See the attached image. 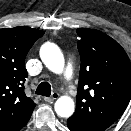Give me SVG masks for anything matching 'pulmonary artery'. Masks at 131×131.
I'll return each mask as SVG.
<instances>
[{
    "label": "pulmonary artery",
    "instance_id": "pulmonary-artery-1",
    "mask_svg": "<svg viewBox=\"0 0 131 131\" xmlns=\"http://www.w3.org/2000/svg\"><path fill=\"white\" fill-rule=\"evenodd\" d=\"M72 78V72L70 68H67L66 72H65V80L66 81H70Z\"/></svg>",
    "mask_w": 131,
    "mask_h": 131
}]
</instances>
